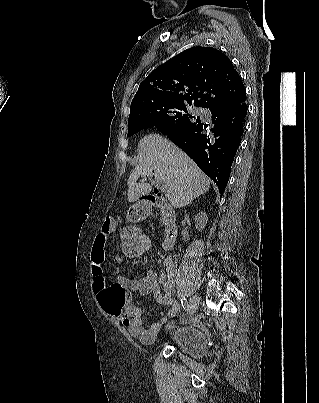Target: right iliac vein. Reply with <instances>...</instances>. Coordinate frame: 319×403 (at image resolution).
<instances>
[{
    "instance_id": "right-iliac-vein-1",
    "label": "right iliac vein",
    "mask_w": 319,
    "mask_h": 403,
    "mask_svg": "<svg viewBox=\"0 0 319 403\" xmlns=\"http://www.w3.org/2000/svg\"><path fill=\"white\" fill-rule=\"evenodd\" d=\"M197 309H198V299L196 296H192L189 302L188 316L184 321L185 323H187L192 318V316L196 313Z\"/></svg>"
}]
</instances>
